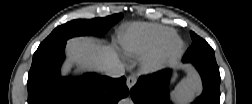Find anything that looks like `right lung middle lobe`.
<instances>
[{
  "label": "right lung middle lobe",
  "mask_w": 252,
  "mask_h": 104,
  "mask_svg": "<svg viewBox=\"0 0 252 104\" xmlns=\"http://www.w3.org/2000/svg\"><path fill=\"white\" fill-rule=\"evenodd\" d=\"M123 14H115L105 18L95 19H77L61 26H58L53 32L39 45L38 48L53 45L59 42H65L74 36L105 34L111 26L122 18Z\"/></svg>",
  "instance_id": "right-lung-middle-lobe-1"
}]
</instances>
